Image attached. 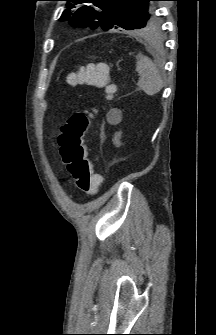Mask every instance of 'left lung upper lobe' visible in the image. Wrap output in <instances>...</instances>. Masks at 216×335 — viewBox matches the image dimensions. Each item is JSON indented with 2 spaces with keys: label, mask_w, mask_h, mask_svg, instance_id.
Returning a JSON list of instances; mask_svg holds the SVG:
<instances>
[{
  "label": "left lung upper lobe",
  "mask_w": 216,
  "mask_h": 335,
  "mask_svg": "<svg viewBox=\"0 0 216 335\" xmlns=\"http://www.w3.org/2000/svg\"><path fill=\"white\" fill-rule=\"evenodd\" d=\"M69 8L65 10L60 21L70 20L76 27L96 29L123 28L141 29L155 33L159 29V19L155 14L153 1L156 0H64Z\"/></svg>",
  "instance_id": "obj_1"
}]
</instances>
